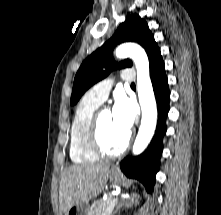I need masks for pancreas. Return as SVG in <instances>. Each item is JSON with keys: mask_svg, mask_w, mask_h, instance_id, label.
<instances>
[{"mask_svg": "<svg viewBox=\"0 0 221 215\" xmlns=\"http://www.w3.org/2000/svg\"><path fill=\"white\" fill-rule=\"evenodd\" d=\"M115 197L109 196L106 200H96L89 209L88 215H111Z\"/></svg>", "mask_w": 221, "mask_h": 215, "instance_id": "pancreas-1", "label": "pancreas"}]
</instances>
